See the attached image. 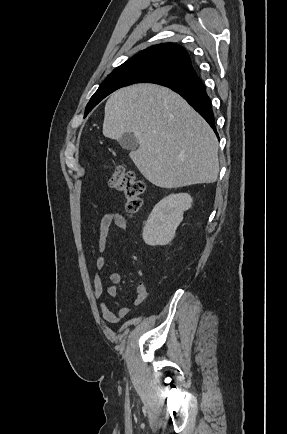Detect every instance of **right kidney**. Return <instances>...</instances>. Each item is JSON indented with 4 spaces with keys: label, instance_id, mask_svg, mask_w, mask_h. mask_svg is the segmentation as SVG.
<instances>
[{
    "label": "right kidney",
    "instance_id": "obj_1",
    "mask_svg": "<svg viewBox=\"0 0 287 434\" xmlns=\"http://www.w3.org/2000/svg\"><path fill=\"white\" fill-rule=\"evenodd\" d=\"M193 199L187 193L171 194L155 205L143 228V240L147 245H167L183 220L184 211L192 206Z\"/></svg>",
    "mask_w": 287,
    "mask_h": 434
}]
</instances>
